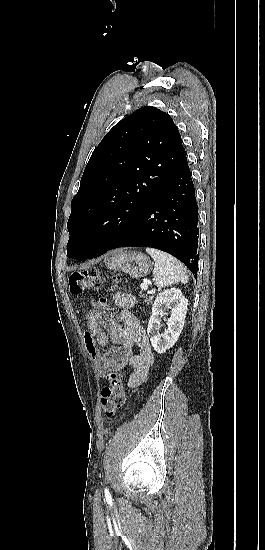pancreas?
Instances as JSON below:
<instances>
[{"label":"pancreas","mask_w":265,"mask_h":550,"mask_svg":"<svg viewBox=\"0 0 265 550\" xmlns=\"http://www.w3.org/2000/svg\"><path fill=\"white\" fill-rule=\"evenodd\" d=\"M141 296L145 299L144 301H145V303H147V304H150V303L153 301V299H154L153 296H148V295H144V294H141Z\"/></svg>","instance_id":"cf45deb5"}]
</instances>
